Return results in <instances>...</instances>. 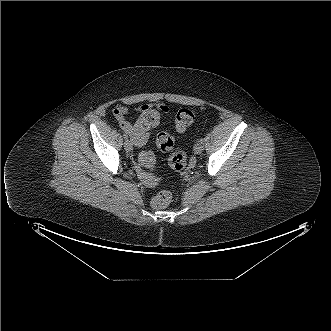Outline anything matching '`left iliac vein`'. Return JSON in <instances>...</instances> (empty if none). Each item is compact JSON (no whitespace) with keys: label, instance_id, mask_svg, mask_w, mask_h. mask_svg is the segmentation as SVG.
Returning <instances> with one entry per match:
<instances>
[{"label":"left iliac vein","instance_id":"left-iliac-vein-1","mask_svg":"<svg viewBox=\"0 0 331 331\" xmlns=\"http://www.w3.org/2000/svg\"><path fill=\"white\" fill-rule=\"evenodd\" d=\"M203 151V144L200 142L195 143L194 145V152L196 154H200Z\"/></svg>","mask_w":331,"mask_h":331}]
</instances>
